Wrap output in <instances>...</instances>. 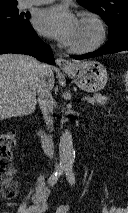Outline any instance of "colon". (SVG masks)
<instances>
[{"mask_svg": "<svg viewBox=\"0 0 128 213\" xmlns=\"http://www.w3.org/2000/svg\"><path fill=\"white\" fill-rule=\"evenodd\" d=\"M124 82L128 98V70L124 74ZM15 132L9 131L0 134V190L7 198L14 197L16 194V183L13 180L14 167L12 164V149L15 145ZM67 205L60 206L56 213H69Z\"/></svg>", "mask_w": 128, "mask_h": 213, "instance_id": "1", "label": "colon"}]
</instances>
